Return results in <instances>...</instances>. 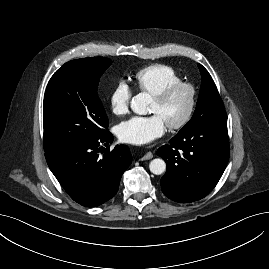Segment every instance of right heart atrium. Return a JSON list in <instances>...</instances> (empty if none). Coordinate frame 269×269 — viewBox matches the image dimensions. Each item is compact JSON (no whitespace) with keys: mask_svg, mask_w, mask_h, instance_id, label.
I'll list each match as a JSON object with an SVG mask.
<instances>
[{"mask_svg":"<svg viewBox=\"0 0 269 269\" xmlns=\"http://www.w3.org/2000/svg\"><path fill=\"white\" fill-rule=\"evenodd\" d=\"M132 97L129 85L121 80L114 86L109 95V107L115 115H123L127 112Z\"/></svg>","mask_w":269,"mask_h":269,"instance_id":"obj_1","label":"right heart atrium"}]
</instances>
